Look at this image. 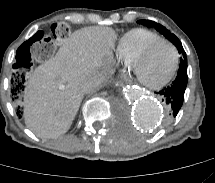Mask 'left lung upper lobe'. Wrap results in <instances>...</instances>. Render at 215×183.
<instances>
[{
	"label": "left lung upper lobe",
	"instance_id": "5c2ea615",
	"mask_svg": "<svg viewBox=\"0 0 215 183\" xmlns=\"http://www.w3.org/2000/svg\"><path fill=\"white\" fill-rule=\"evenodd\" d=\"M138 23L146 25L148 27H154L158 32L163 34L168 40H170L177 47L179 53L182 55L181 62L187 61L186 53L182 47L180 40L174 34L170 33V31L167 30L164 26L150 20H140L138 21Z\"/></svg>",
	"mask_w": 215,
	"mask_h": 183
}]
</instances>
